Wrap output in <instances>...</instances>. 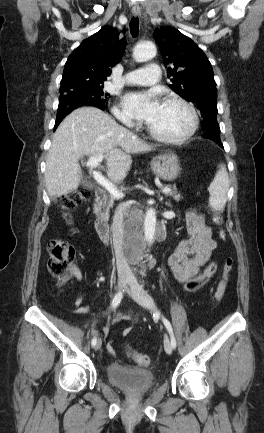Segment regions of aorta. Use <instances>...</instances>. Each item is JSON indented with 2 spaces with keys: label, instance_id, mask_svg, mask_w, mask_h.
I'll use <instances>...</instances> for the list:
<instances>
[{
  "label": "aorta",
  "instance_id": "762f6f07",
  "mask_svg": "<svg viewBox=\"0 0 264 433\" xmlns=\"http://www.w3.org/2000/svg\"><path fill=\"white\" fill-rule=\"evenodd\" d=\"M156 52V46L151 42H147L135 47L133 57L137 62H144L153 58L156 55ZM142 228L144 231L145 241L148 245H151L157 228L156 212L153 208H150L146 212Z\"/></svg>",
  "mask_w": 264,
  "mask_h": 433
}]
</instances>
